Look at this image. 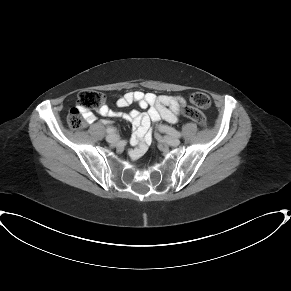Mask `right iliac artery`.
<instances>
[{"instance_id":"right-iliac-artery-1","label":"right iliac artery","mask_w":291,"mask_h":291,"mask_svg":"<svg viewBox=\"0 0 291 291\" xmlns=\"http://www.w3.org/2000/svg\"><path fill=\"white\" fill-rule=\"evenodd\" d=\"M115 131H116V130H114L113 128H107V129H106V132H107V133H110V134H111V133H114Z\"/></svg>"}]
</instances>
